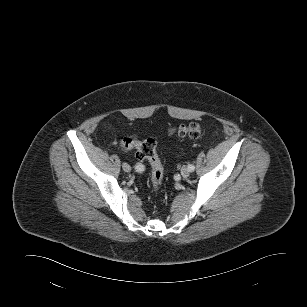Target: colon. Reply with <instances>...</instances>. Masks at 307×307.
<instances>
[{
    "mask_svg": "<svg viewBox=\"0 0 307 307\" xmlns=\"http://www.w3.org/2000/svg\"><path fill=\"white\" fill-rule=\"evenodd\" d=\"M169 132L180 137L198 138L202 135L203 129L197 123H190L173 126ZM121 148L125 152L134 151L137 159L150 163L151 183L153 188L158 190L163 182V167L156 152V142L151 138L139 140L136 137H126L121 142Z\"/></svg>",
    "mask_w": 307,
    "mask_h": 307,
    "instance_id": "obj_1",
    "label": "colon"
}]
</instances>
